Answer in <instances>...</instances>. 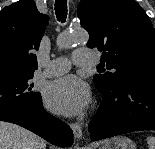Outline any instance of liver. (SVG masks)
<instances>
[{"instance_id": "obj_1", "label": "liver", "mask_w": 155, "mask_h": 149, "mask_svg": "<svg viewBox=\"0 0 155 149\" xmlns=\"http://www.w3.org/2000/svg\"><path fill=\"white\" fill-rule=\"evenodd\" d=\"M46 141L12 123L0 121V149H46Z\"/></svg>"}]
</instances>
